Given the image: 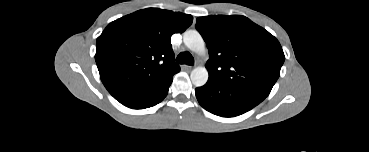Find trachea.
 <instances>
[{"mask_svg": "<svg viewBox=\"0 0 369 152\" xmlns=\"http://www.w3.org/2000/svg\"><path fill=\"white\" fill-rule=\"evenodd\" d=\"M176 62L178 64L193 65L194 58L189 52H182L177 56Z\"/></svg>", "mask_w": 369, "mask_h": 152, "instance_id": "1", "label": "trachea"}]
</instances>
